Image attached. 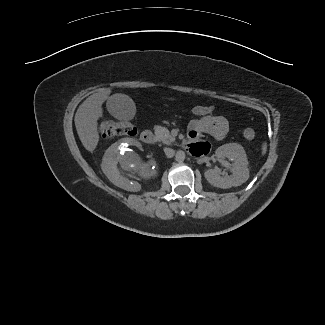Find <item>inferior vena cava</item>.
<instances>
[{"instance_id": "1", "label": "inferior vena cava", "mask_w": 325, "mask_h": 325, "mask_svg": "<svg viewBox=\"0 0 325 325\" xmlns=\"http://www.w3.org/2000/svg\"><path fill=\"white\" fill-rule=\"evenodd\" d=\"M164 152L168 158H171L175 155V151L171 148H164Z\"/></svg>"}]
</instances>
